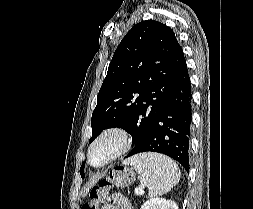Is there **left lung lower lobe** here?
Instances as JSON below:
<instances>
[{
	"mask_svg": "<svg viewBox=\"0 0 253 209\" xmlns=\"http://www.w3.org/2000/svg\"><path fill=\"white\" fill-rule=\"evenodd\" d=\"M191 98V83L185 62L148 137L137 151L127 157L141 152H158L175 159L189 172Z\"/></svg>",
	"mask_w": 253,
	"mask_h": 209,
	"instance_id": "obj_1",
	"label": "left lung lower lobe"
}]
</instances>
